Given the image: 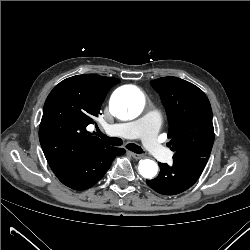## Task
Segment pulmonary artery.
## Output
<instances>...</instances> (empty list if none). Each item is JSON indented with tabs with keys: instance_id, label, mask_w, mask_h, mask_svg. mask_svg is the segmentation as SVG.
Instances as JSON below:
<instances>
[{
	"instance_id": "e3ab8cb5",
	"label": "pulmonary artery",
	"mask_w": 250,
	"mask_h": 250,
	"mask_svg": "<svg viewBox=\"0 0 250 250\" xmlns=\"http://www.w3.org/2000/svg\"><path fill=\"white\" fill-rule=\"evenodd\" d=\"M160 125V117L157 113H150L143 119L128 123L118 124L109 127V131L131 139H140L146 150L156 159L168 161L171 153L162 146L157 138L156 133Z\"/></svg>"
}]
</instances>
